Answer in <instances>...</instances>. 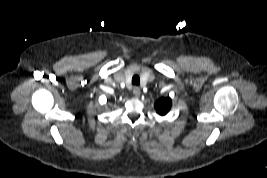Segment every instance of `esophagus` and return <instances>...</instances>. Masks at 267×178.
<instances>
[{
  "instance_id": "34e87169",
  "label": "esophagus",
  "mask_w": 267,
  "mask_h": 178,
  "mask_svg": "<svg viewBox=\"0 0 267 178\" xmlns=\"http://www.w3.org/2000/svg\"><path fill=\"white\" fill-rule=\"evenodd\" d=\"M133 95L138 98L141 95V91L139 87H134L132 90Z\"/></svg>"
}]
</instances>
